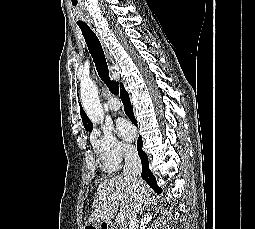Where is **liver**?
Returning <instances> with one entry per match:
<instances>
[{
  "instance_id": "obj_1",
  "label": "liver",
  "mask_w": 255,
  "mask_h": 229,
  "mask_svg": "<svg viewBox=\"0 0 255 229\" xmlns=\"http://www.w3.org/2000/svg\"><path fill=\"white\" fill-rule=\"evenodd\" d=\"M138 184L146 199L149 195V186L141 178H138ZM135 194L133 182L124 175L105 178L98 186L92 204L94 211L89 216L87 224L100 225L104 222L110 223L119 208L124 215L125 221H129L135 202ZM115 195L121 198L108 200Z\"/></svg>"
}]
</instances>
